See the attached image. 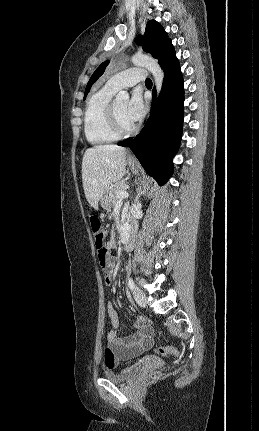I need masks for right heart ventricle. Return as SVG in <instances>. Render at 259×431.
I'll use <instances>...</instances> for the list:
<instances>
[{"label": "right heart ventricle", "instance_id": "1", "mask_svg": "<svg viewBox=\"0 0 259 431\" xmlns=\"http://www.w3.org/2000/svg\"><path fill=\"white\" fill-rule=\"evenodd\" d=\"M115 93L116 90L105 85L88 99L84 113V133L91 145L101 146L119 138L110 129L107 118L108 106Z\"/></svg>", "mask_w": 259, "mask_h": 431}]
</instances>
